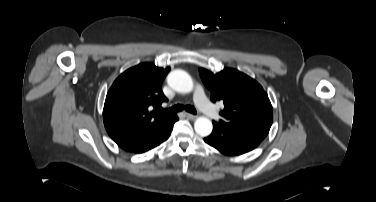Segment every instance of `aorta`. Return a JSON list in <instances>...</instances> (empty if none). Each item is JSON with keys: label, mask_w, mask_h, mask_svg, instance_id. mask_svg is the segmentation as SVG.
<instances>
[{"label": "aorta", "mask_w": 376, "mask_h": 202, "mask_svg": "<svg viewBox=\"0 0 376 202\" xmlns=\"http://www.w3.org/2000/svg\"><path fill=\"white\" fill-rule=\"evenodd\" d=\"M169 86L177 92L189 93L193 90V81L191 76L183 70H174L168 77ZM212 122L207 117H199L194 123L195 132L202 136H208L212 132Z\"/></svg>", "instance_id": "762f6f07"}]
</instances>
